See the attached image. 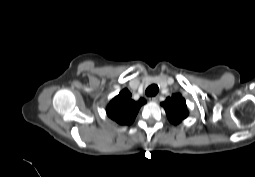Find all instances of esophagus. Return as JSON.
I'll use <instances>...</instances> for the list:
<instances>
[{"mask_svg":"<svg viewBox=\"0 0 255 177\" xmlns=\"http://www.w3.org/2000/svg\"><path fill=\"white\" fill-rule=\"evenodd\" d=\"M150 101H152V102H158V97H157V96L152 97V98H150Z\"/></svg>","mask_w":255,"mask_h":177,"instance_id":"obj_1","label":"esophagus"}]
</instances>
